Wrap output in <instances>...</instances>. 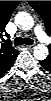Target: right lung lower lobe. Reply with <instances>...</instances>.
Instances as JSON below:
<instances>
[{"label":"right lung lower lobe","instance_id":"right-lung-lower-lobe-1","mask_svg":"<svg viewBox=\"0 0 51 101\" xmlns=\"http://www.w3.org/2000/svg\"><path fill=\"white\" fill-rule=\"evenodd\" d=\"M14 62H15V61H14ZM14 62H13V63H14ZM12 65H13V64H12ZM11 67H12V66H11ZM11 67H10V68H11ZM10 68H9V69H10ZM9 69H8V70H9ZM8 70H7V71H8ZM7 71H6V72H7ZM6 72H4V73H6ZM4 73H2V74H4ZM2 74H1V75H2Z\"/></svg>","mask_w":51,"mask_h":101}]
</instances>
